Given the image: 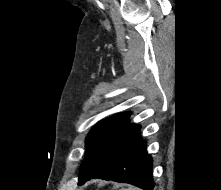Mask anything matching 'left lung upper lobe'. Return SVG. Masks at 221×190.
<instances>
[{"label":"left lung upper lobe","instance_id":"obj_1","mask_svg":"<svg viewBox=\"0 0 221 190\" xmlns=\"http://www.w3.org/2000/svg\"><path fill=\"white\" fill-rule=\"evenodd\" d=\"M130 112L115 114L98 122L86 138V156L81 164L79 179L87 175L105 149L129 124Z\"/></svg>","mask_w":221,"mask_h":190}]
</instances>
